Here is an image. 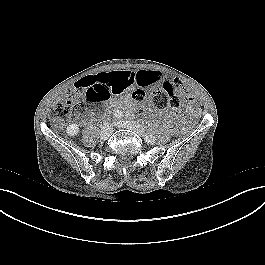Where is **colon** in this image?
I'll list each match as a JSON object with an SVG mask.
<instances>
[{"label":"colon","mask_w":265,"mask_h":265,"mask_svg":"<svg viewBox=\"0 0 265 265\" xmlns=\"http://www.w3.org/2000/svg\"><path fill=\"white\" fill-rule=\"evenodd\" d=\"M110 77L108 76H86L78 80L74 88L64 98L58 101L50 112V118L54 122H63L69 119L75 108L81 109L84 102L96 103L107 100L112 91L110 89ZM183 84L179 78H167L162 87L151 94V102L154 107L164 109L167 106L179 108L184 106L187 112L197 113L202 103L196 94L182 89ZM146 89H136L132 93L133 100L139 105L146 100Z\"/></svg>","instance_id":"colon-1"}]
</instances>
